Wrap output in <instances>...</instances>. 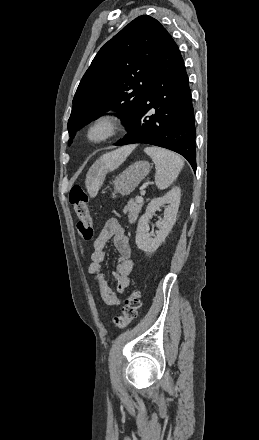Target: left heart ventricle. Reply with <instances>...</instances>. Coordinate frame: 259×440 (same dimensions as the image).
<instances>
[{
    "label": "left heart ventricle",
    "mask_w": 259,
    "mask_h": 440,
    "mask_svg": "<svg viewBox=\"0 0 259 440\" xmlns=\"http://www.w3.org/2000/svg\"><path fill=\"white\" fill-rule=\"evenodd\" d=\"M104 133V129L103 128H97L94 132H93V136H100Z\"/></svg>",
    "instance_id": "b2bd125f"
}]
</instances>
